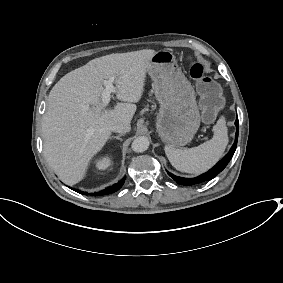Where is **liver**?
Masks as SVG:
<instances>
[{"label":"liver","instance_id":"liver-1","mask_svg":"<svg viewBox=\"0 0 283 283\" xmlns=\"http://www.w3.org/2000/svg\"><path fill=\"white\" fill-rule=\"evenodd\" d=\"M154 50L116 53L89 61L63 76L51 89L42 120L43 150L49 166L67 185L80 182L92 157L117 124L130 123L143 93ZM114 77L117 103L104 110L103 81Z\"/></svg>","mask_w":283,"mask_h":283}]
</instances>
